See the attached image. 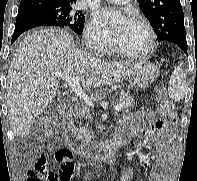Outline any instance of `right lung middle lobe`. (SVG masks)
Wrapping results in <instances>:
<instances>
[{
	"label": "right lung middle lobe",
	"mask_w": 197,
	"mask_h": 181,
	"mask_svg": "<svg viewBox=\"0 0 197 181\" xmlns=\"http://www.w3.org/2000/svg\"><path fill=\"white\" fill-rule=\"evenodd\" d=\"M32 8L46 13L57 19L61 27H69L78 35L83 31L85 16L81 11H74L71 6H59L52 4H37Z\"/></svg>",
	"instance_id": "dd1d6c3e"
}]
</instances>
